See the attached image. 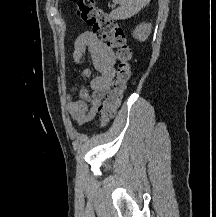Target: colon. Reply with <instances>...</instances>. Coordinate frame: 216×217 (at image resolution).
<instances>
[{
  "mask_svg": "<svg viewBox=\"0 0 216 217\" xmlns=\"http://www.w3.org/2000/svg\"><path fill=\"white\" fill-rule=\"evenodd\" d=\"M71 1L76 5L78 16L105 40L107 46L115 50L117 68L112 90L98 108L100 123L104 125L114 117L131 79V49L124 30L96 4L95 0Z\"/></svg>",
  "mask_w": 216,
  "mask_h": 217,
  "instance_id": "5ec220e1",
  "label": "colon"
}]
</instances>
